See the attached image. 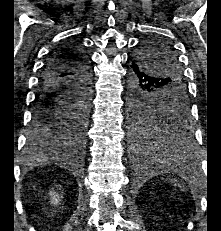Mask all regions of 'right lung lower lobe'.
I'll return each mask as SVG.
<instances>
[{
  "instance_id": "98d812e1",
  "label": "right lung lower lobe",
  "mask_w": 221,
  "mask_h": 231,
  "mask_svg": "<svg viewBox=\"0 0 221 231\" xmlns=\"http://www.w3.org/2000/svg\"><path fill=\"white\" fill-rule=\"evenodd\" d=\"M60 50L48 59L40 79L27 141L31 154L49 153L69 146L77 153L82 151V146L67 137L58 116L71 97L81 95L90 102L91 67L88 58L79 50L75 49L76 52L67 57L57 56ZM53 130L59 133L48 135Z\"/></svg>"
}]
</instances>
